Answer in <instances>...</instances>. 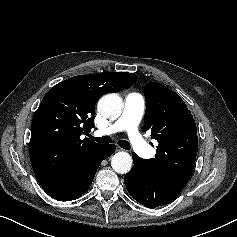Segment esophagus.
<instances>
[{"label": "esophagus", "instance_id": "1", "mask_svg": "<svg viewBox=\"0 0 237 237\" xmlns=\"http://www.w3.org/2000/svg\"><path fill=\"white\" fill-rule=\"evenodd\" d=\"M116 150H117V151H123V149L120 148V147H117Z\"/></svg>", "mask_w": 237, "mask_h": 237}]
</instances>
